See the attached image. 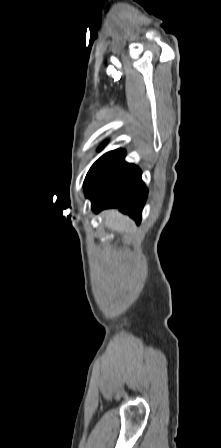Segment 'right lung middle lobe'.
Masks as SVG:
<instances>
[{
  "label": "right lung middle lobe",
  "instance_id": "dd1d6c3e",
  "mask_svg": "<svg viewBox=\"0 0 221 448\" xmlns=\"http://www.w3.org/2000/svg\"><path fill=\"white\" fill-rule=\"evenodd\" d=\"M110 153V152H109ZM106 153L103 156H101L90 168L89 172L87 173V176L85 178L84 181V185L87 183V181L90 179V177L92 176V174L94 173V171L97 169V167L102 163V161L105 159V157L109 154Z\"/></svg>",
  "mask_w": 221,
  "mask_h": 448
}]
</instances>
